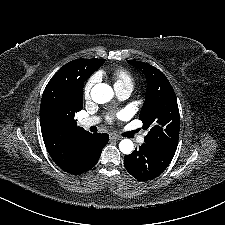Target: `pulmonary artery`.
Returning a JSON list of instances; mask_svg holds the SVG:
<instances>
[{"instance_id":"pulmonary-artery-1","label":"pulmonary artery","mask_w":225,"mask_h":225,"mask_svg":"<svg viewBox=\"0 0 225 225\" xmlns=\"http://www.w3.org/2000/svg\"><path fill=\"white\" fill-rule=\"evenodd\" d=\"M116 93H117V96L120 100H126L131 95L132 90H130V89H116ZM98 121H99L98 117H89V118L82 119L79 122V125L83 128H88L90 126H93V125L97 124ZM144 141H145V134H142L137 138V142L140 145L143 144Z\"/></svg>"}]
</instances>
